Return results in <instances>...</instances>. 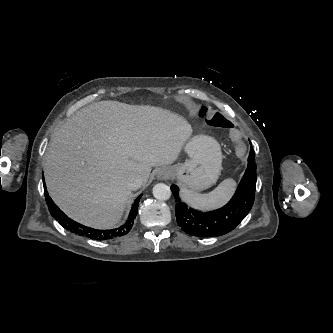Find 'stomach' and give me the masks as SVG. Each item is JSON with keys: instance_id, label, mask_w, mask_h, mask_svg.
<instances>
[{"instance_id": "1", "label": "stomach", "mask_w": 333, "mask_h": 333, "mask_svg": "<svg viewBox=\"0 0 333 333\" xmlns=\"http://www.w3.org/2000/svg\"><path fill=\"white\" fill-rule=\"evenodd\" d=\"M189 159L184 163L166 167L171 177L192 192L214 185L220 176L222 152L219 143L207 135L192 137L185 146Z\"/></svg>"}]
</instances>
